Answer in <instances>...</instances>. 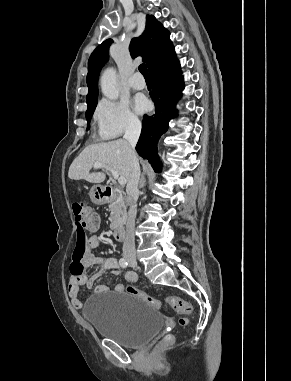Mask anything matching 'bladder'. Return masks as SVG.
<instances>
[{
	"label": "bladder",
	"instance_id": "obj_1",
	"mask_svg": "<svg viewBox=\"0 0 291 381\" xmlns=\"http://www.w3.org/2000/svg\"><path fill=\"white\" fill-rule=\"evenodd\" d=\"M84 318L99 336L127 348L153 339L164 327V317L143 299L125 292L91 296L83 308Z\"/></svg>",
	"mask_w": 291,
	"mask_h": 381
}]
</instances>
